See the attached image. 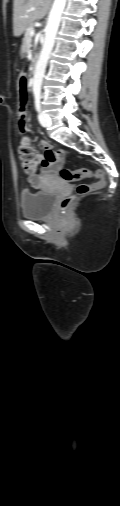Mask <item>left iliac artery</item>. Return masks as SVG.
<instances>
[{
    "mask_svg": "<svg viewBox=\"0 0 120 506\" xmlns=\"http://www.w3.org/2000/svg\"><path fill=\"white\" fill-rule=\"evenodd\" d=\"M41 96L39 93L35 94V108L38 112L41 111V102H40Z\"/></svg>",
    "mask_w": 120,
    "mask_h": 506,
    "instance_id": "obj_1",
    "label": "left iliac artery"
}]
</instances>
